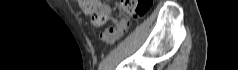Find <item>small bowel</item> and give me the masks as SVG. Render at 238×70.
<instances>
[{
	"mask_svg": "<svg viewBox=\"0 0 238 70\" xmlns=\"http://www.w3.org/2000/svg\"><path fill=\"white\" fill-rule=\"evenodd\" d=\"M101 12L105 15L107 20L111 19L112 9L108 4L102 3L100 1L97 2ZM128 21L126 19H121L115 22V26L106 29L104 32L100 34V38L102 41L106 43H113L117 39H119L127 30Z\"/></svg>",
	"mask_w": 238,
	"mask_h": 70,
	"instance_id": "obj_1",
	"label": "small bowel"
}]
</instances>
